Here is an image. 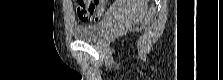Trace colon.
<instances>
[{
	"label": "colon",
	"mask_w": 223,
	"mask_h": 80,
	"mask_svg": "<svg viewBox=\"0 0 223 80\" xmlns=\"http://www.w3.org/2000/svg\"><path fill=\"white\" fill-rule=\"evenodd\" d=\"M104 1H83L77 2L76 10L82 20L94 19L98 20L104 10Z\"/></svg>",
	"instance_id": "5ec220e1"
}]
</instances>
